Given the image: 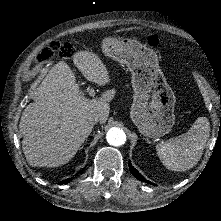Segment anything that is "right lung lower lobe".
I'll return each instance as SVG.
<instances>
[{
    "mask_svg": "<svg viewBox=\"0 0 221 221\" xmlns=\"http://www.w3.org/2000/svg\"><path fill=\"white\" fill-rule=\"evenodd\" d=\"M70 181H71V179H66V180L62 181L60 184H67Z\"/></svg>",
    "mask_w": 221,
    "mask_h": 221,
    "instance_id": "1",
    "label": "right lung lower lobe"
}]
</instances>
